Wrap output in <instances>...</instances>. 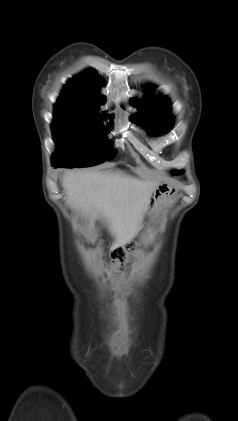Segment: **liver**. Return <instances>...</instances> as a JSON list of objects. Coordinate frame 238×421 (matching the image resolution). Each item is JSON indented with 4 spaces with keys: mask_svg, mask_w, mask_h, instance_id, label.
<instances>
[{
    "mask_svg": "<svg viewBox=\"0 0 238 421\" xmlns=\"http://www.w3.org/2000/svg\"><path fill=\"white\" fill-rule=\"evenodd\" d=\"M158 183L122 171L69 172L62 179L68 204L103 218L115 237L112 248L127 243L137 232Z\"/></svg>",
    "mask_w": 238,
    "mask_h": 421,
    "instance_id": "liver-1",
    "label": "liver"
}]
</instances>
